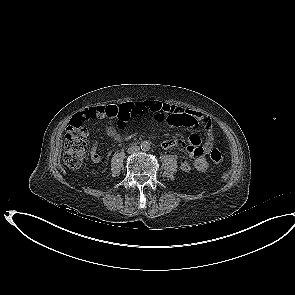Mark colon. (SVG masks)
Instances as JSON below:
<instances>
[{
    "mask_svg": "<svg viewBox=\"0 0 295 295\" xmlns=\"http://www.w3.org/2000/svg\"><path fill=\"white\" fill-rule=\"evenodd\" d=\"M133 114L132 108L128 105L106 106L105 109V116L119 127H124ZM87 136L88 132L83 123L71 121L65 134L63 155L64 162L70 169L81 168L87 150ZM209 155L213 163H222L223 155L218 148H212Z\"/></svg>",
    "mask_w": 295,
    "mask_h": 295,
    "instance_id": "obj_1",
    "label": "colon"
}]
</instances>
